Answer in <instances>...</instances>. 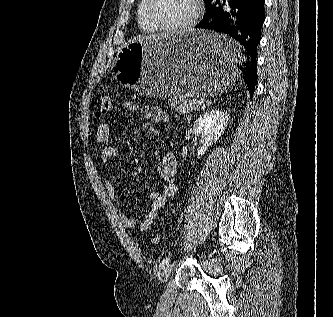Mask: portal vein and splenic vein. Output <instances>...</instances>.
Wrapping results in <instances>:
<instances>
[{"label": "portal vein and splenic vein", "mask_w": 333, "mask_h": 317, "mask_svg": "<svg viewBox=\"0 0 333 317\" xmlns=\"http://www.w3.org/2000/svg\"><path fill=\"white\" fill-rule=\"evenodd\" d=\"M202 103H203V101H199V102H197L196 100L191 101V104H202Z\"/></svg>", "instance_id": "portal-vein-and-splenic-vein-1"}]
</instances>
